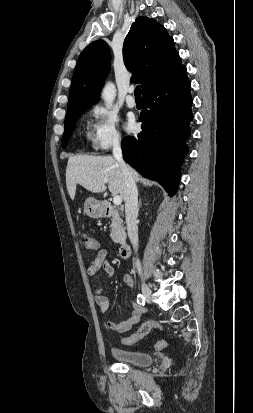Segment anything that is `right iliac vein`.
Segmentation results:
<instances>
[{"label":"right iliac vein","instance_id":"right-iliac-vein-1","mask_svg":"<svg viewBox=\"0 0 253 413\" xmlns=\"http://www.w3.org/2000/svg\"><path fill=\"white\" fill-rule=\"evenodd\" d=\"M141 288H142V293H143L145 299H146L148 302H150V300H151V290H150L149 286H148L147 284H145V283H142V287H141Z\"/></svg>","mask_w":253,"mask_h":413}]
</instances>
